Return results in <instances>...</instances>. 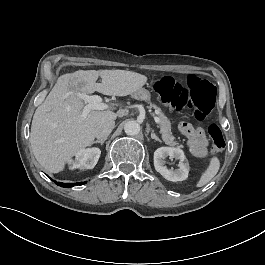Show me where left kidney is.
<instances>
[{"label":"left kidney","mask_w":265,"mask_h":265,"mask_svg":"<svg viewBox=\"0 0 265 265\" xmlns=\"http://www.w3.org/2000/svg\"><path fill=\"white\" fill-rule=\"evenodd\" d=\"M167 157L180 161L176 170L167 169L165 166ZM154 166L157 172L170 181H181L188 177V162L185 160L184 152L177 148H158L154 152Z\"/></svg>","instance_id":"5707ae66"}]
</instances>
